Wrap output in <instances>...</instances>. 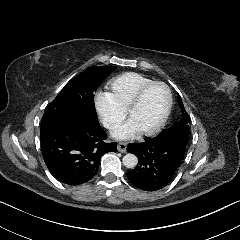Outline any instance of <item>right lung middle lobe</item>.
I'll list each match as a JSON object with an SVG mask.
<instances>
[{"mask_svg":"<svg viewBox=\"0 0 240 240\" xmlns=\"http://www.w3.org/2000/svg\"><path fill=\"white\" fill-rule=\"evenodd\" d=\"M114 69L113 66L90 67L70 80L47 107L41 129L80 117L97 120L94 92Z\"/></svg>","mask_w":240,"mask_h":240,"instance_id":"obj_1","label":"right lung middle lobe"}]
</instances>
